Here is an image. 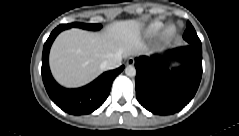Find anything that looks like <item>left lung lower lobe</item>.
Returning <instances> with one entry per match:
<instances>
[{"mask_svg":"<svg viewBox=\"0 0 239 136\" xmlns=\"http://www.w3.org/2000/svg\"><path fill=\"white\" fill-rule=\"evenodd\" d=\"M167 53L181 65L169 69L166 58L158 54L135 58L137 100L158 115L182 110L194 97L202 76V47L188 44Z\"/></svg>","mask_w":239,"mask_h":136,"instance_id":"0a47b994","label":"left lung lower lobe"}]
</instances>
